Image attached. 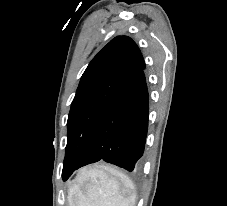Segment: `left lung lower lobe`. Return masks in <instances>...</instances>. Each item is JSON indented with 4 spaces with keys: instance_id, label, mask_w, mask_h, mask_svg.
Here are the masks:
<instances>
[{
    "instance_id": "obj_1",
    "label": "left lung lower lobe",
    "mask_w": 227,
    "mask_h": 206,
    "mask_svg": "<svg viewBox=\"0 0 227 206\" xmlns=\"http://www.w3.org/2000/svg\"><path fill=\"white\" fill-rule=\"evenodd\" d=\"M144 69L131 78L105 109L94 136L79 163L63 170L71 174L101 159L133 171L144 153L148 129V90Z\"/></svg>"
}]
</instances>
